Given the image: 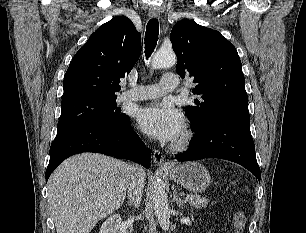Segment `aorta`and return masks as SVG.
<instances>
[{
  "label": "aorta",
  "instance_id": "aorta-1",
  "mask_svg": "<svg viewBox=\"0 0 306 233\" xmlns=\"http://www.w3.org/2000/svg\"><path fill=\"white\" fill-rule=\"evenodd\" d=\"M177 58L172 50H159L151 61L153 69H161L175 65ZM153 208L157 220L164 231L169 230L170 215L168 197L165 192L164 182L157 178L152 192Z\"/></svg>",
  "mask_w": 306,
  "mask_h": 233
}]
</instances>
